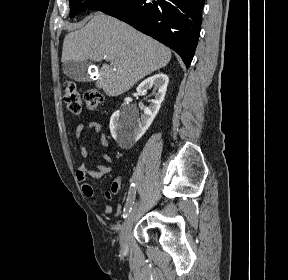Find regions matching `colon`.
I'll list each match as a JSON object with an SVG mask.
<instances>
[{
	"instance_id": "colon-1",
	"label": "colon",
	"mask_w": 288,
	"mask_h": 280,
	"mask_svg": "<svg viewBox=\"0 0 288 280\" xmlns=\"http://www.w3.org/2000/svg\"><path fill=\"white\" fill-rule=\"evenodd\" d=\"M64 100L68 110L72 114L80 115L83 108V102L88 111H94L102 103L103 96L97 89L91 88L85 92L82 102L80 92L75 83L72 81H66Z\"/></svg>"
}]
</instances>
